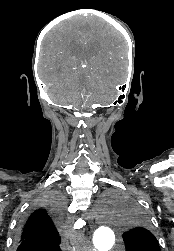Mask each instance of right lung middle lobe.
Masks as SVG:
<instances>
[{
	"label": "right lung middle lobe",
	"mask_w": 174,
	"mask_h": 251,
	"mask_svg": "<svg viewBox=\"0 0 174 251\" xmlns=\"http://www.w3.org/2000/svg\"><path fill=\"white\" fill-rule=\"evenodd\" d=\"M62 195L58 192H50L43 196L36 207H48L52 209L56 214L61 215L62 212Z\"/></svg>",
	"instance_id": "obj_1"
}]
</instances>
